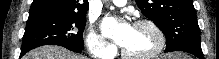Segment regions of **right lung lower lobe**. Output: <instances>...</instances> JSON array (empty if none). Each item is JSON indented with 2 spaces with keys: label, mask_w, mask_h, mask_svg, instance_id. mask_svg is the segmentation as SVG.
Wrapping results in <instances>:
<instances>
[{
  "label": "right lung lower lobe",
  "mask_w": 219,
  "mask_h": 59,
  "mask_svg": "<svg viewBox=\"0 0 219 59\" xmlns=\"http://www.w3.org/2000/svg\"><path fill=\"white\" fill-rule=\"evenodd\" d=\"M67 49H69V50H71V51H74V52H78V53L82 52V49H79V48L69 47V48H67ZM23 55H24V54H21L20 57L23 56Z\"/></svg>",
  "instance_id": "1"
}]
</instances>
